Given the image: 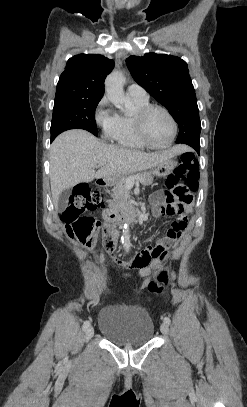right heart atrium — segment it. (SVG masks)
Returning <instances> with one entry per match:
<instances>
[{
    "label": "right heart atrium",
    "instance_id": "d8ad5b80",
    "mask_svg": "<svg viewBox=\"0 0 247 407\" xmlns=\"http://www.w3.org/2000/svg\"><path fill=\"white\" fill-rule=\"evenodd\" d=\"M108 104L107 97H102L96 106L94 114L96 124L102 129L106 136H108L115 121V113L108 108Z\"/></svg>",
    "mask_w": 247,
    "mask_h": 407
}]
</instances>
